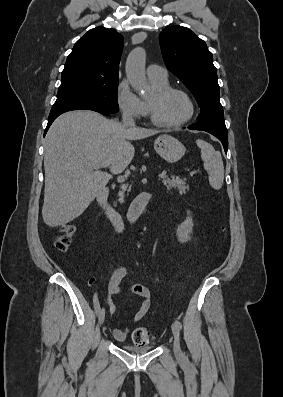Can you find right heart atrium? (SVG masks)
Returning <instances> with one entry per match:
<instances>
[{
  "instance_id": "right-heart-atrium-1",
  "label": "right heart atrium",
  "mask_w": 283,
  "mask_h": 397,
  "mask_svg": "<svg viewBox=\"0 0 283 397\" xmlns=\"http://www.w3.org/2000/svg\"><path fill=\"white\" fill-rule=\"evenodd\" d=\"M116 101L122 115L129 119H139L146 115L143 100L134 93L127 80H122L116 90Z\"/></svg>"
}]
</instances>
